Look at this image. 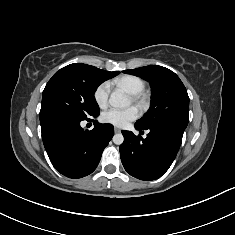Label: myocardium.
<instances>
[{"label":"myocardium","instance_id":"f54148a6","mask_svg":"<svg viewBox=\"0 0 235 235\" xmlns=\"http://www.w3.org/2000/svg\"><path fill=\"white\" fill-rule=\"evenodd\" d=\"M132 101L139 106H143L145 102L144 97L140 93L132 95Z\"/></svg>","mask_w":235,"mask_h":235}]
</instances>
